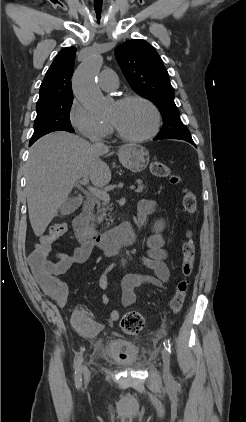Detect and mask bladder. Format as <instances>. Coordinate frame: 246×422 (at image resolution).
<instances>
[{
    "mask_svg": "<svg viewBox=\"0 0 246 422\" xmlns=\"http://www.w3.org/2000/svg\"><path fill=\"white\" fill-rule=\"evenodd\" d=\"M105 356L114 363L129 368L141 366L140 348L125 339L111 338L105 346Z\"/></svg>",
    "mask_w": 246,
    "mask_h": 422,
    "instance_id": "1",
    "label": "bladder"
}]
</instances>
